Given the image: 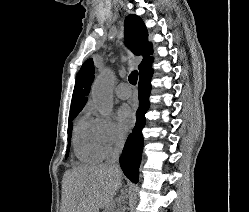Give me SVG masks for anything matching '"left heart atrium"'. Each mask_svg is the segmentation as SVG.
<instances>
[{
    "mask_svg": "<svg viewBox=\"0 0 249 212\" xmlns=\"http://www.w3.org/2000/svg\"><path fill=\"white\" fill-rule=\"evenodd\" d=\"M135 123L133 111L128 106H121L117 111V128L121 133L129 131Z\"/></svg>",
    "mask_w": 249,
    "mask_h": 212,
    "instance_id": "left-heart-atrium-1",
    "label": "left heart atrium"
}]
</instances>
